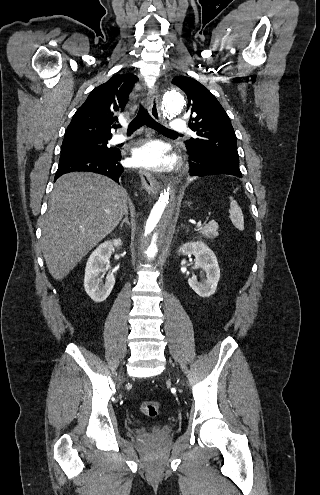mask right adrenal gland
Returning a JSON list of instances; mask_svg holds the SVG:
<instances>
[{
  "label": "right adrenal gland",
  "instance_id": "obj_1",
  "mask_svg": "<svg viewBox=\"0 0 320 495\" xmlns=\"http://www.w3.org/2000/svg\"><path fill=\"white\" fill-rule=\"evenodd\" d=\"M124 223H127V225L130 226V222L128 220V213L125 214V218L122 220V222L120 224V228L123 227Z\"/></svg>",
  "mask_w": 320,
  "mask_h": 495
}]
</instances>
